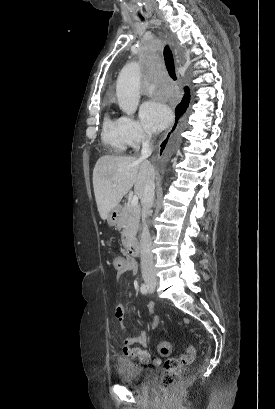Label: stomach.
Returning a JSON list of instances; mask_svg holds the SVG:
<instances>
[{"mask_svg": "<svg viewBox=\"0 0 275 409\" xmlns=\"http://www.w3.org/2000/svg\"><path fill=\"white\" fill-rule=\"evenodd\" d=\"M122 209L120 205H117V207H114L112 211H110L108 217H107V223L109 227H116L120 221V213Z\"/></svg>", "mask_w": 275, "mask_h": 409, "instance_id": "stomach-1", "label": "stomach"}]
</instances>
